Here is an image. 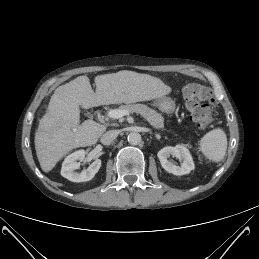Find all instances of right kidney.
Listing matches in <instances>:
<instances>
[{
  "mask_svg": "<svg viewBox=\"0 0 259 259\" xmlns=\"http://www.w3.org/2000/svg\"><path fill=\"white\" fill-rule=\"evenodd\" d=\"M85 158V151L78 150L68 155L61 168V175L72 182L92 180L101 167V160L96 159L86 170L75 172L80 168V162Z\"/></svg>",
  "mask_w": 259,
  "mask_h": 259,
  "instance_id": "obj_1",
  "label": "right kidney"
}]
</instances>
